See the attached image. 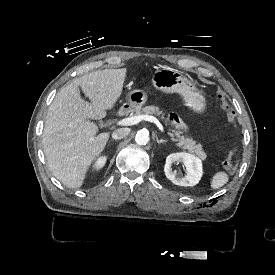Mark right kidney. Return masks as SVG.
<instances>
[{
	"instance_id": "ca27d5eb",
	"label": "right kidney",
	"mask_w": 275,
	"mask_h": 275,
	"mask_svg": "<svg viewBox=\"0 0 275 275\" xmlns=\"http://www.w3.org/2000/svg\"><path fill=\"white\" fill-rule=\"evenodd\" d=\"M106 161H107V157H106V156H101V157H99V158L96 160V162L94 163L93 169L99 170V169L103 168L104 165L106 164Z\"/></svg>"
}]
</instances>
